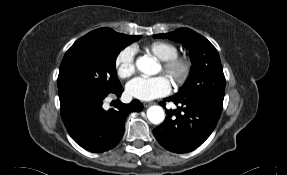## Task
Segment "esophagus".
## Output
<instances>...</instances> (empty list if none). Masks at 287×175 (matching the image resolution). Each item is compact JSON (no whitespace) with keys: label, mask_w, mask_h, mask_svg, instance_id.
Wrapping results in <instances>:
<instances>
[{"label":"esophagus","mask_w":287,"mask_h":175,"mask_svg":"<svg viewBox=\"0 0 287 175\" xmlns=\"http://www.w3.org/2000/svg\"><path fill=\"white\" fill-rule=\"evenodd\" d=\"M153 104V102H144L143 103V106L145 107V108H147V107H149L150 105H152Z\"/></svg>","instance_id":"obj_1"}]
</instances>
